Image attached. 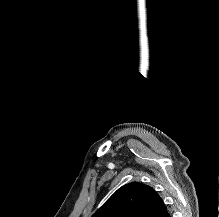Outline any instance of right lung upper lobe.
I'll return each instance as SVG.
<instances>
[{
    "instance_id": "cb5924a9",
    "label": "right lung upper lobe",
    "mask_w": 219,
    "mask_h": 217,
    "mask_svg": "<svg viewBox=\"0 0 219 217\" xmlns=\"http://www.w3.org/2000/svg\"><path fill=\"white\" fill-rule=\"evenodd\" d=\"M92 217H170L156 191L132 182L119 188Z\"/></svg>"
}]
</instances>
